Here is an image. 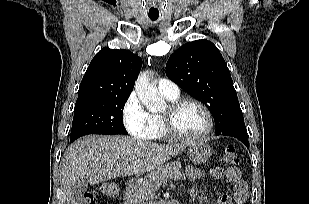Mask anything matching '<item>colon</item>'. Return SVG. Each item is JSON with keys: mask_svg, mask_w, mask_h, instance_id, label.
Instances as JSON below:
<instances>
[{"mask_svg": "<svg viewBox=\"0 0 309 204\" xmlns=\"http://www.w3.org/2000/svg\"><path fill=\"white\" fill-rule=\"evenodd\" d=\"M224 165L233 166L240 162L239 156L233 146H228L224 149L222 155ZM101 192L109 198H117L120 194V187L115 182H104L101 185ZM96 194L94 192H85L77 199L74 204H95Z\"/></svg>", "mask_w": 309, "mask_h": 204, "instance_id": "colon-1", "label": "colon"}]
</instances>
